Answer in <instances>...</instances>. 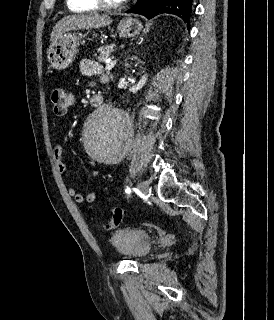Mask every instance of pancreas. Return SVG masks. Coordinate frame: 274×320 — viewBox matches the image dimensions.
<instances>
[{"label": "pancreas", "instance_id": "cf45deb5", "mask_svg": "<svg viewBox=\"0 0 274 320\" xmlns=\"http://www.w3.org/2000/svg\"><path fill=\"white\" fill-rule=\"evenodd\" d=\"M115 44H112V46H101V48H98L97 54H94L96 56V60L98 62H105V60H108L111 52H114Z\"/></svg>", "mask_w": 274, "mask_h": 320}]
</instances>
